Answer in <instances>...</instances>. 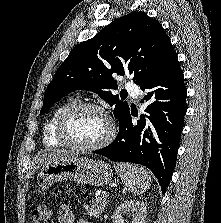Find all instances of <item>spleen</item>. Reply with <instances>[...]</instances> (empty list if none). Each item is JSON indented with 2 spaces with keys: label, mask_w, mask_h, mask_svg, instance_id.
I'll return each mask as SVG.
<instances>
[{
  "label": "spleen",
  "mask_w": 221,
  "mask_h": 223,
  "mask_svg": "<svg viewBox=\"0 0 221 223\" xmlns=\"http://www.w3.org/2000/svg\"><path fill=\"white\" fill-rule=\"evenodd\" d=\"M125 187L134 195L143 194L151 184V177L141 166L130 163L114 164Z\"/></svg>",
  "instance_id": "1"
}]
</instances>
